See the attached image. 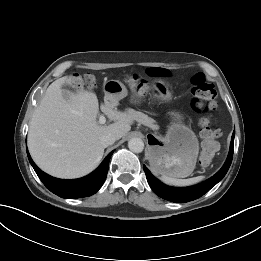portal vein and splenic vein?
<instances>
[{
  "mask_svg": "<svg viewBox=\"0 0 261 261\" xmlns=\"http://www.w3.org/2000/svg\"><path fill=\"white\" fill-rule=\"evenodd\" d=\"M105 122H106V118H105L103 115H101V116L99 117V123H100V124H105Z\"/></svg>",
  "mask_w": 261,
  "mask_h": 261,
  "instance_id": "18ae733b",
  "label": "portal vein and splenic vein"
}]
</instances>
